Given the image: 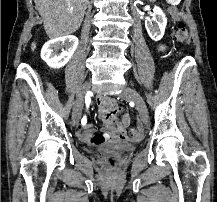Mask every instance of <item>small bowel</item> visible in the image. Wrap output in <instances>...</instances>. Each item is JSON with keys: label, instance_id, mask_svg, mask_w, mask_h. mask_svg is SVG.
I'll return each instance as SVG.
<instances>
[{"label": "small bowel", "instance_id": "small-bowel-1", "mask_svg": "<svg viewBox=\"0 0 217 202\" xmlns=\"http://www.w3.org/2000/svg\"><path fill=\"white\" fill-rule=\"evenodd\" d=\"M160 52L165 51V46L160 44L157 46ZM95 106L100 109L101 116H98V121H106L105 132L103 134L96 133L95 128L91 123L85 126H78L76 136L84 143L101 144L106 140H131L138 141L142 136V131H131V115L128 111H124L121 120L118 122V116L115 113L119 112L120 105L116 101H95Z\"/></svg>", "mask_w": 217, "mask_h": 202}]
</instances>
